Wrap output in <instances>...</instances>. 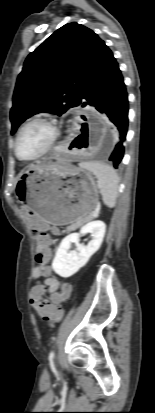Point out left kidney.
Listing matches in <instances>:
<instances>
[{
    "instance_id": "obj_1",
    "label": "left kidney",
    "mask_w": 155,
    "mask_h": 413,
    "mask_svg": "<svg viewBox=\"0 0 155 413\" xmlns=\"http://www.w3.org/2000/svg\"><path fill=\"white\" fill-rule=\"evenodd\" d=\"M106 231V225L100 220H95L84 225L79 233L67 235L60 243L52 262V268L56 274L67 278L77 273L90 257L100 248ZM91 233L93 239L88 245L79 244L82 235ZM75 243L76 251H69L71 244Z\"/></svg>"
}]
</instances>
